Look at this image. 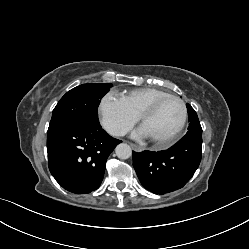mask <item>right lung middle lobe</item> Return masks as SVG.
<instances>
[{"label":"right lung middle lobe","instance_id":"1","mask_svg":"<svg viewBox=\"0 0 249 249\" xmlns=\"http://www.w3.org/2000/svg\"><path fill=\"white\" fill-rule=\"evenodd\" d=\"M111 83H88L68 91L53 110L47 135L77 125L97 126V108Z\"/></svg>","mask_w":249,"mask_h":249}]
</instances>
